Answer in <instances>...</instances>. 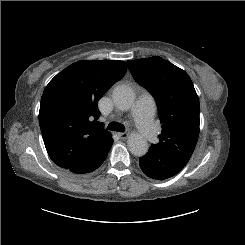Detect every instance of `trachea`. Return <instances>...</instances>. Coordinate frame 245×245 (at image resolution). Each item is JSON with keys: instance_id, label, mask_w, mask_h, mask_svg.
Listing matches in <instances>:
<instances>
[{"instance_id": "trachea-1", "label": "trachea", "mask_w": 245, "mask_h": 245, "mask_svg": "<svg viewBox=\"0 0 245 245\" xmlns=\"http://www.w3.org/2000/svg\"><path fill=\"white\" fill-rule=\"evenodd\" d=\"M107 129L111 130V131H118V132H124L125 131V127L122 124L116 123V122H111L107 126Z\"/></svg>"}]
</instances>
